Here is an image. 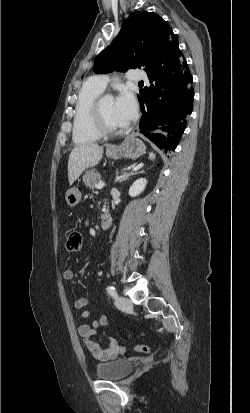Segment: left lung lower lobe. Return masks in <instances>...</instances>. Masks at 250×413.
Here are the masks:
<instances>
[{"instance_id": "obj_1", "label": "left lung lower lobe", "mask_w": 250, "mask_h": 413, "mask_svg": "<svg viewBox=\"0 0 250 413\" xmlns=\"http://www.w3.org/2000/svg\"><path fill=\"white\" fill-rule=\"evenodd\" d=\"M147 76L150 86L141 89L138 96L142 112L139 132L165 152L174 151L194 100L192 76L178 39L158 45Z\"/></svg>"}]
</instances>
